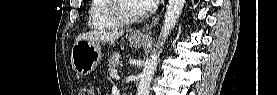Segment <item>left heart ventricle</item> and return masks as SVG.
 Returning <instances> with one entry per match:
<instances>
[{
  "instance_id": "1",
  "label": "left heart ventricle",
  "mask_w": 277,
  "mask_h": 95,
  "mask_svg": "<svg viewBox=\"0 0 277 95\" xmlns=\"http://www.w3.org/2000/svg\"><path fill=\"white\" fill-rule=\"evenodd\" d=\"M141 4L137 0H127L123 3L121 11L126 16H137L142 11Z\"/></svg>"
}]
</instances>
